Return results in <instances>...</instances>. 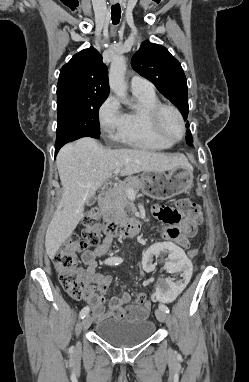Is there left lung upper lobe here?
Returning <instances> with one entry per match:
<instances>
[{
    "label": "left lung upper lobe",
    "instance_id": "left-lung-upper-lobe-1",
    "mask_svg": "<svg viewBox=\"0 0 249 382\" xmlns=\"http://www.w3.org/2000/svg\"><path fill=\"white\" fill-rule=\"evenodd\" d=\"M133 69L151 81L161 94L168 98L187 120L188 90L186 78L180 63L169 51L158 44L145 41L132 57ZM189 127V124L186 125ZM186 142L192 146V136L187 132Z\"/></svg>",
    "mask_w": 249,
    "mask_h": 382
}]
</instances>
